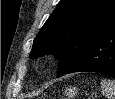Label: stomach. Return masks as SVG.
<instances>
[{
  "instance_id": "stomach-1",
  "label": "stomach",
  "mask_w": 115,
  "mask_h": 99,
  "mask_svg": "<svg viewBox=\"0 0 115 99\" xmlns=\"http://www.w3.org/2000/svg\"><path fill=\"white\" fill-rule=\"evenodd\" d=\"M77 88L76 87H67L64 90V95L67 97V99H73L77 95Z\"/></svg>"
}]
</instances>
